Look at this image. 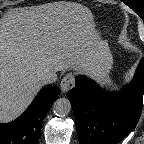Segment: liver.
<instances>
[{
  "instance_id": "obj_1",
  "label": "liver",
  "mask_w": 144,
  "mask_h": 144,
  "mask_svg": "<svg viewBox=\"0 0 144 144\" xmlns=\"http://www.w3.org/2000/svg\"><path fill=\"white\" fill-rule=\"evenodd\" d=\"M101 45L107 42L81 4L59 1L6 11L0 18V122L28 107L48 71L99 73Z\"/></svg>"
}]
</instances>
